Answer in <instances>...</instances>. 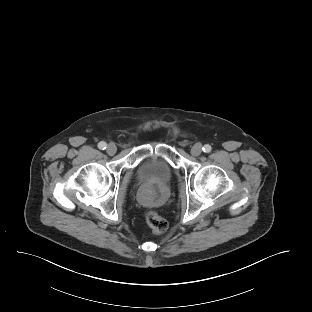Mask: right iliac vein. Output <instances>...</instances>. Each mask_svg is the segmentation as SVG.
Wrapping results in <instances>:
<instances>
[{
	"mask_svg": "<svg viewBox=\"0 0 312 312\" xmlns=\"http://www.w3.org/2000/svg\"><path fill=\"white\" fill-rule=\"evenodd\" d=\"M106 151L109 155H114L117 151V147L114 143H110L108 144Z\"/></svg>",
	"mask_w": 312,
	"mask_h": 312,
	"instance_id": "obj_1",
	"label": "right iliac vein"
}]
</instances>
